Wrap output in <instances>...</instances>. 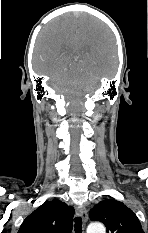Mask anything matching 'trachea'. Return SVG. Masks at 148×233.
<instances>
[{
	"label": "trachea",
	"mask_w": 148,
	"mask_h": 233,
	"mask_svg": "<svg viewBox=\"0 0 148 233\" xmlns=\"http://www.w3.org/2000/svg\"><path fill=\"white\" fill-rule=\"evenodd\" d=\"M74 230H75V233H82V218L81 217L75 218Z\"/></svg>",
	"instance_id": "obj_1"
}]
</instances>
